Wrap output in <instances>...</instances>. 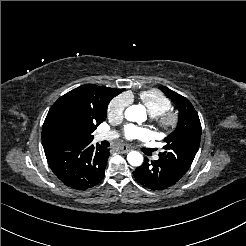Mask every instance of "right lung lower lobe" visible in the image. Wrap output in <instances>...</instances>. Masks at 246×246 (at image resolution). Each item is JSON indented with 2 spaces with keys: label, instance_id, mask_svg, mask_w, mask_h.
<instances>
[{
  "label": "right lung lower lobe",
  "instance_id": "obj_1",
  "mask_svg": "<svg viewBox=\"0 0 246 246\" xmlns=\"http://www.w3.org/2000/svg\"><path fill=\"white\" fill-rule=\"evenodd\" d=\"M43 147L52 171L67 186L84 190L102 180L109 149L91 142H53Z\"/></svg>",
  "mask_w": 246,
  "mask_h": 246
}]
</instances>
